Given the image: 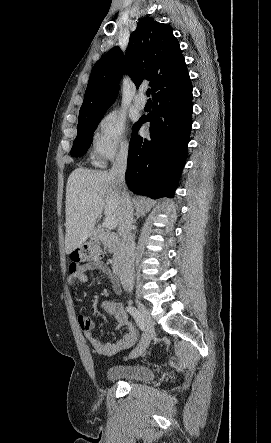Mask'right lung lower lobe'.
I'll use <instances>...</instances> for the list:
<instances>
[{"label":"right lung lower lobe","mask_w":271,"mask_h":443,"mask_svg":"<svg viewBox=\"0 0 271 443\" xmlns=\"http://www.w3.org/2000/svg\"><path fill=\"white\" fill-rule=\"evenodd\" d=\"M153 111L133 126L126 182L131 191L151 198L173 197L182 172L191 130L190 78L155 94ZM150 122V138L137 131Z\"/></svg>","instance_id":"1"}]
</instances>
